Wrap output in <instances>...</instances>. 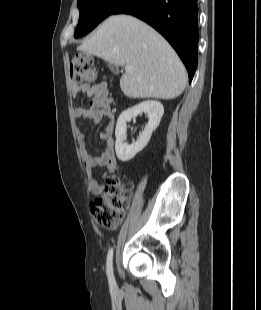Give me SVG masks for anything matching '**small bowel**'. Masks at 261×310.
<instances>
[{
  "mask_svg": "<svg viewBox=\"0 0 261 310\" xmlns=\"http://www.w3.org/2000/svg\"><path fill=\"white\" fill-rule=\"evenodd\" d=\"M72 92L76 95L84 93L90 101L87 108L76 107L74 109V116L77 120H88L93 125H99L105 118H112L111 98L106 83L82 86L75 85L72 88ZM113 130L114 124L110 121L103 131L100 132L99 137L105 144L99 156L89 153L84 134L80 131L77 132V140L81 149L82 159L88 172V189L95 195L101 194L104 188L93 175V169L98 166L104 167L105 176H107L115 172L117 168V161L114 154Z\"/></svg>",
  "mask_w": 261,
  "mask_h": 310,
  "instance_id": "c3829d8e",
  "label": "small bowel"
}]
</instances>
